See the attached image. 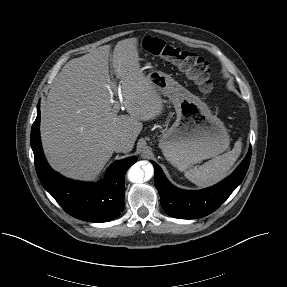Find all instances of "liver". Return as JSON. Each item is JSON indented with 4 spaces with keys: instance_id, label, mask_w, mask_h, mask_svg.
<instances>
[{
    "instance_id": "6515ba94",
    "label": "liver",
    "mask_w": 287,
    "mask_h": 287,
    "mask_svg": "<svg viewBox=\"0 0 287 287\" xmlns=\"http://www.w3.org/2000/svg\"><path fill=\"white\" fill-rule=\"evenodd\" d=\"M110 49L104 45L67 62L41 107L44 153L51 167L68 178L94 180L113 154L111 140L125 139L122 152H130L141 121L163 110L157 90L140 68L138 39L129 38L116 44L112 57L129 114L118 116L113 106L116 85L109 75Z\"/></svg>"
}]
</instances>
